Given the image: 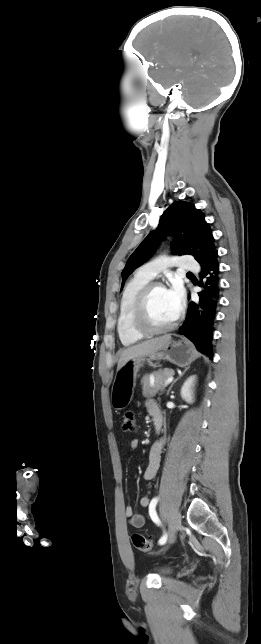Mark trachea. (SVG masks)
<instances>
[{
	"instance_id": "obj_1",
	"label": "trachea",
	"mask_w": 261,
	"mask_h": 644,
	"mask_svg": "<svg viewBox=\"0 0 261 644\" xmlns=\"http://www.w3.org/2000/svg\"><path fill=\"white\" fill-rule=\"evenodd\" d=\"M187 274H192L191 272H188Z\"/></svg>"
}]
</instances>
